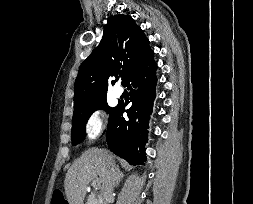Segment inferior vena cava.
<instances>
[{"mask_svg": "<svg viewBox=\"0 0 253 204\" xmlns=\"http://www.w3.org/2000/svg\"><path fill=\"white\" fill-rule=\"evenodd\" d=\"M116 182H117L116 168L111 162H109L108 171L100 189L101 204H106V201L112 194Z\"/></svg>", "mask_w": 253, "mask_h": 204, "instance_id": "inferior-vena-cava-1", "label": "inferior vena cava"}]
</instances>
